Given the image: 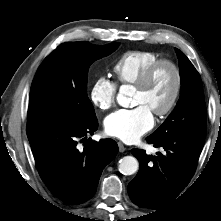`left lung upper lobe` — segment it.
Listing matches in <instances>:
<instances>
[{
  "label": "left lung upper lobe",
  "mask_w": 221,
  "mask_h": 221,
  "mask_svg": "<svg viewBox=\"0 0 221 221\" xmlns=\"http://www.w3.org/2000/svg\"><path fill=\"white\" fill-rule=\"evenodd\" d=\"M178 55L182 79L181 96L165 122L150 136L163 138L175 135H191L205 138L207 110L202 81L189 59L179 50Z\"/></svg>",
  "instance_id": "obj_1"
}]
</instances>
